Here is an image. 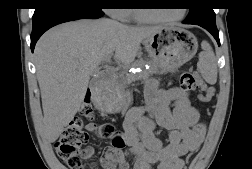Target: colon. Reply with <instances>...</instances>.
<instances>
[{
    "label": "colon",
    "mask_w": 252,
    "mask_h": 169,
    "mask_svg": "<svg viewBox=\"0 0 252 169\" xmlns=\"http://www.w3.org/2000/svg\"><path fill=\"white\" fill-rule=\"evenodd\" d=\"M181 88L187 91L201 90L202 101H208L213 96L214 91L211 87L201 83L195 73L185 72L180 80ZM94 112L89 101L81 107L80 116L75 117L63 130L59 139L55 143V148L59 159L64 162L69 169H83V157L86 149L83 146L87 143L88 134L83 128L82 118L93 119ZM98 135L101 138L112 140L116 147H123L122 134L117 131L113 124L103 123L99 126ZM104 160V159H103Z\"/></svg>",
    "instance_id": "colon-1"
}]
</instances>
